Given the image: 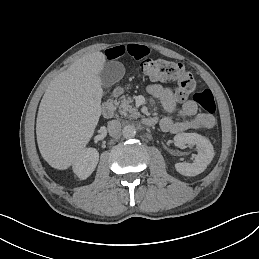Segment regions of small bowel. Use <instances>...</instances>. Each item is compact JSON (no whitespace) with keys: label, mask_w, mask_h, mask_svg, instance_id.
Instances as JSON below:
<instances>
[{"label":"small bowel","mask_w":259,"mask_h":259,"mask_svg":"<svg viewBox=\"0 0 259 259\" xmlns=\"http://www.w3.org/2000/svg\"><path fill=\"white\" fill-rule=\"evenodd\" d=\"M149 54V48L141 44H121L105 50L107 60H118L123 57H131L140 60ZM149 93L158 99L168 113H175L182 117V120H173L169 116H162L158 123L164 132L181 133L201 129H211L215 125V118L208 113L198 112L197 104L194 100H186L178 107L181 101L173 90L159 83H153L148 87Z\"/></svg>","instance_id":"obj_1"}]
</instances>
